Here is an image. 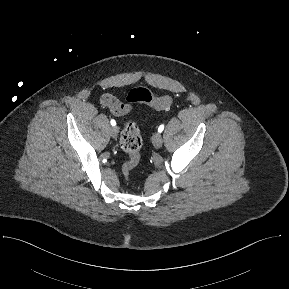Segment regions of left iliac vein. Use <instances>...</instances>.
<instances>
[{"instance_id":"left-iliac-vein-1","label":"left iliac vein","mask_w":289,"mask_h":289,"mask_svg":"<svg viewBox=\"0 0 289 289\" xmlns=\"http://www.w3.org/2000/svg\"><path fill=\"white\" fill-rule=\"evenodd\" d=\"M152 143H153L155 148H160L162 146L163 139H162L160 132H157L153 135Z\"/></svg>"}]
</instances>
